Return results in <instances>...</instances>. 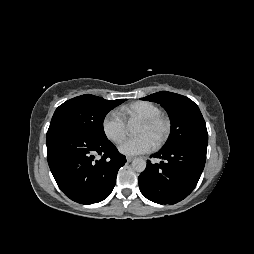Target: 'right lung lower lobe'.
<instances>
[{
	"mask_svg": "<svg viewBox=\"0 0 254 254\" xmlns=\"http://www.w3.org/2000/svg\"><path fill=\"white\" fill-rule=\"evenodd\" d=\"M50 170L62 192L80 204L98 203L112 192L126 158L107 139L65 125L47 132Z\"/></svg>",
	"mask_w": 254,
	"mask_h": 254,
	"instance_id": "1",
	"label": "right lung lower lobe"
}]
</instances>
